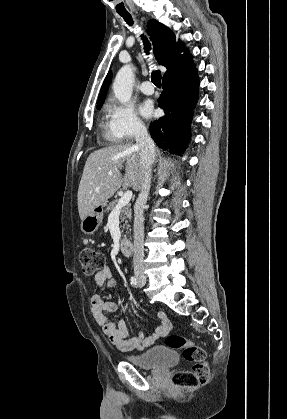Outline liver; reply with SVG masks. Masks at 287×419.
Segmentation results:
<instances>
[{
    "label": "liver",
    "instance_id": "liver-1",
    "mask_svg": "<svg viewBox=\"0 0 287 419\" xmlns=\"http://www.w3.org/2000/svg\"><path fill=\"white\" fill-rule=\"evenodd\" d=\"M125 163L126 172L120 169ZM113 174L109 175L108 172ZM144 166L139 146L126 143L108 146L92 152L86 160L78 188V211L83 220L94 208L106 204L123 186L138 191L142 187Z\"/></svg>",
    "mask_w": 287,
    "mask_h": 419
}]
</instances>
